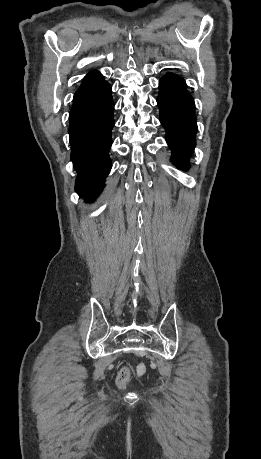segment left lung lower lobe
Returning <instances> with one entry per match:
<instances>
[{"label": "left lung lower lobe", "instance_id": "0a47b994", "mask_svg": "<svg viewBox=\"0 0 261 459\" xmlns=\"http://www.w3.org/2000/svg\"><path fill=\"white\" fill-rule=\"evenodd\" d=\"M157 103L160 122L166 130V140L172 150L171 160L178 168L186 169L195 147L197 124L194 100L187 92L185 81L172 73L162 77Z\"/></svg>", "mask_w": 261, "mask_h": 459}]
</instances>
